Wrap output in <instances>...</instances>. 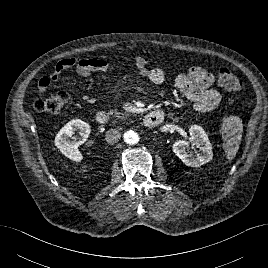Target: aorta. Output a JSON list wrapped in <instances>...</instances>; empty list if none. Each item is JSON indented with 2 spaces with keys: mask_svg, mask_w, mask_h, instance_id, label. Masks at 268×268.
<instances>
[{
  "mask_svg": "<svg viewBox=\"0 0 268 268\" xmlns=\"http://www.w3.org/2000/svg\"><path fill=\"white\" fill-rule=\"evenodd\" d=\"M123 138L124 141L129 145L136 144L139 141V135L132 130L125 132Z\"/></svg>",
  "mask_w": 268,
  "mask_h": 268,
  "instance_id": "762f6f07",
  "label": "aorta"
}]
</instances>
